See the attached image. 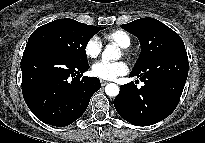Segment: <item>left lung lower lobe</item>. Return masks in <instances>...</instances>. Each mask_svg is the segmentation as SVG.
<instances>
[{"instance_id": "1", "label": "left lung lower lobe", "mask_w": 205, "mask_h": 143, "mask_svg": "<svg viewBox=\"0 0 205 143\" xmlns=\"http://www.w3.org/2000/svg\"><path fill=\"white\" fill-rule=\"evenodd\" d=\"M188 75L185 47L166 52L149 69L134 73L144 82L137 88L134 82L120 87L114 99L119 115L136 126H149L168 117L177 107Z\"/></svg>"}]
</instances>
